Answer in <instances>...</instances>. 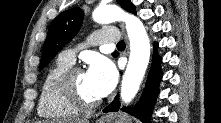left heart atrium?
<instances>
[{
	"label": "left heart atrium",
	"mask_w": 221,
	"mask_h": 123,
	"mask_svg": "<svg viewBox=\"0 0 221 123\" xmlns=\"http://www.w3.org/2000/svg\"><path fill=\"white\" fill-rule=\"evenodd\" d=\"M86 74L101 98L112 91L117 81L114 64L103 56H95L90 60Z\"/></svg>",
	"instance_id": "1"
}]
</instances>
